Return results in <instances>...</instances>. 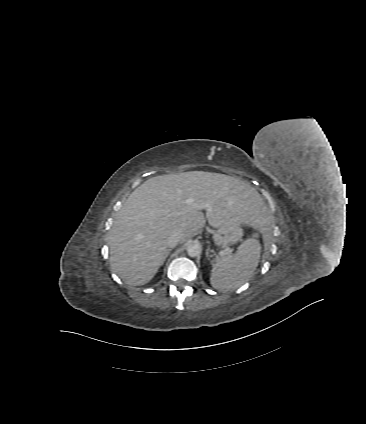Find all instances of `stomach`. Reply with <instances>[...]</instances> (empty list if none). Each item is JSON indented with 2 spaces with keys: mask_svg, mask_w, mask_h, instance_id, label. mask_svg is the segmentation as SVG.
<instances>
[{
  "mask_svg": "<svg viewBox=\"0 0 366 424\" xmlns=\"http://www.w3.org/2000/svg\"><path fill=\"white\" fill-rule=\"evenodd\" d=\"M243 236V229L240 223L221 226L213 234L214 243L220 247H227L238 242Z\"/></svg>",
  "mask_w": 366,
  "mask_h": 424,
  "instance_id": "1",
  "label": "stomach"
}]
</instances>
